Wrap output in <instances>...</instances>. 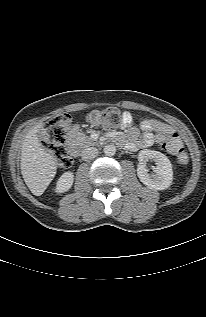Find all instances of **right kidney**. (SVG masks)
<instances>
[{"label": "right kidney", "instance_id": "ca27d5eb", "mask_svg": "<svg viewBox=\"0 0 206 317\" xmlns=\"http://www.w3.org/2000/svg\"><path fill=\"white\" fill-rule=\"evenodd\" d=\"M74 175L72 172H65L57 181L56 190L58 193L68 191L73 185Z\"/></svg>", "mask_w": 206, "mask_h": 317}]
</instances>
